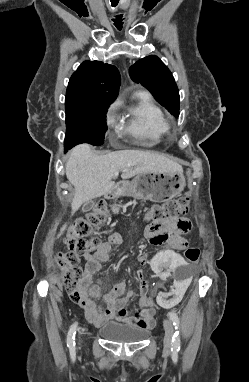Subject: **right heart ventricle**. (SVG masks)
Returning <instances> with one entry per match:
<instances>
[{"instance_id":"1","label":"right heart ventricle","mask_w":249,"mask_h":382,"mask_svg":"<svg viewBox=\"0 0 249 382\" xmlns=\"http://www.w3.org/2000/svg\"><path fill=\"white\" fill-rule=\"evenodd\" d=\"M170 131L162 109L146 92L136 93L125 108L120 132L133 136L140 143L153 146Z\"/></svg>"}]
</instances>
